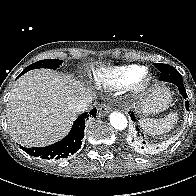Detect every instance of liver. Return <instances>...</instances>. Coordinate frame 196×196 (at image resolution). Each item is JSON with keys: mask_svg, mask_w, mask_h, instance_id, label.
<instances>
[{"mask_svg": "<svg viewBox=\"0 0 196 196\" xmlns=\"http://www.w3.org/2000/svg\"><path fill=\"white\" fill-rule=\"evenodd\" d=\"M91 97L89 88L69 75L31 70L13 85L7 103L8 128L22 146L42 147L61 139L76 119L77 98Z\"/></svg>", "mask_w": 196, "mask_h": 196, "instance_id": "6515ba94", "label": "liver"}]
</instances>
